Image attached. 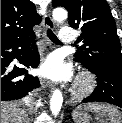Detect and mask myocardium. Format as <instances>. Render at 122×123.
I'll return each mask as SVG.
<instances>
[{"label": "myocardium", "mask_w": 122, "mask_h": 123, "mask_svg": "<svg viewBox=\"0 0 122 123\" xmlns=\"http://www.w3.org/2000/svg\"><path fill=\"white\" fill-rule=\"evenodd\" d=\"M96 86L95 76L87 70L81 71L72 87L71 93L76 98H82L90 94Z\"/></svg>", "instance_id": "f54148a6"}]
</instances>
